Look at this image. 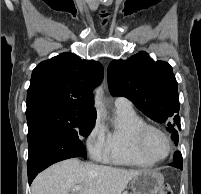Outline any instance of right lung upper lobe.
I'll use <instances>...</instances> for the list:
<instances>
[{
	"label": "right lung upper lobe",
	"instance_id": "cb5924a9",
	"mask_svg": "<svg viewBox=\"0 0 201 194\" xmlns=\"http://www.w3.org/2000/svg\"><path fill=\"white\" fill-rule=\"evenodd\" d=\"M103 77V66L66 52L41 62L33 70L27 104L50 99L66 103L74 111L96 116L93 88Z\"/></svg>",
	"mask_w": 201,
	"mask_h": 194
}]
</instances>
